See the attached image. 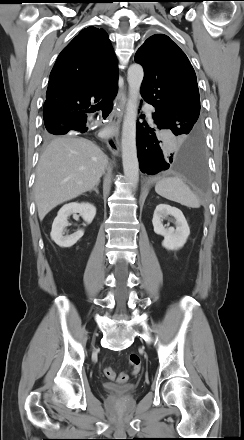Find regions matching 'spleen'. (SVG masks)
I'll list each match as a JSON object with an SVG mask.
<instances>
[{
    "mask_svg": "<svg viewBox=\"0 0 244 440\" xmlns=\"http://www.w3.org/2000/svg\"><path fill=\"white\" fill-rule=\"evenodd\" d=\"M155 191L160 196L190 208H199L200 201L179 177H166L157 182Z\"/></svg>",
    "mask_w": 244,
    "mask_h": 440,
    "instance_id": "3e777b00",
    "label": "spleen"
}]
</instances>
